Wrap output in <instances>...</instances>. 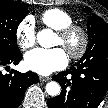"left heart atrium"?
Instances as JSON below:
<instances>
[{
	"mask_svg": "<svg viewBox=\"0 0 108 108\" xmlns=\"http://www.w3.org/2000/svg\"><path fill=\"white\" fill-rule=\"evenodd\" d=\"M68 59L62 48L53 49L37 48L25 55V65L31 71L40 75H49L63 69Z\"/></svg>",
	"mask_w": 108,
	"mask_h": 108,
	"instance_id": "1",
	"label": "left heart atrium"
}]
</instances>
